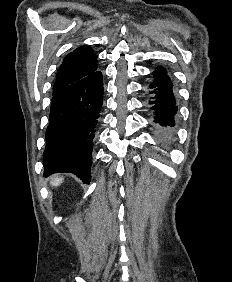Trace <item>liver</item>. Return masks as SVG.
Masks as SVG:
<instances>
[{"label": "liver", "instance_id": "obj_1", "mask_svg": "<svg viewBox=\"0 0 232 282\" xmlns=\"http://www.w3.org/2000/svg\"><path fill=\"white\" fill-rule=\"evenodd\" d=\"M62 181H63V178H58V177H56V178H53L52 179V185L53 186H57V185H59L60 183H62Z\"/></svg>", "mask_w": 232, "mask_h": 282}]
</instances>
